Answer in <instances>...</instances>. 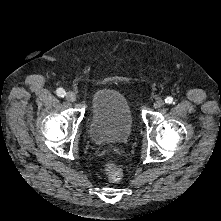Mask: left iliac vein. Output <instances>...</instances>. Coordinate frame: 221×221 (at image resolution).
Returning a JSON list of instances; mask_svg holds the SVG:
<instances>
[{
	"label": "left iliac vein",
	"mask_w": 221,
	"mask_h": 221,
	"mask_svg": "<svg viewBox=\"0 0 221 221\" xmlns=\"http://www.w3.org/2000/svg\"><path fill=\"white\" fill-rule=\"evenodd\" d=\"M164 100H162V99H159V100H157L155 103H154V107L155 108H161V107H163L164 106Z\"/></svg>",
	"instance_id": "1"
}]
</instances>
